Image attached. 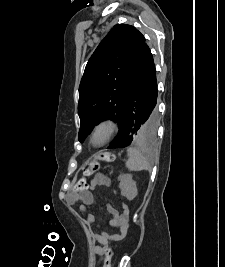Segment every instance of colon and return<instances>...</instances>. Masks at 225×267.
<instances>
[{
    "label": "colon",
    "instance_id": "obj_1",
    "mask_svg": "<svg viewBox=\"0 0 225 267\" xmlns=\"http://www.w3.org/2000/svg\"><path fill=\"white\" fill-rule=\"evenodd\" d=\"M98 160L110 162L113 160V155L109 152H103L89 160L83 168V176L75 183L73 190L75 193H82L87 189L88 177H90L99 167ZM113 250L108 247L105 252V260L102 267H111Z\"/></svg>",
    "mask_w": 225,
    "mask_h": 267
}]
</instances>
